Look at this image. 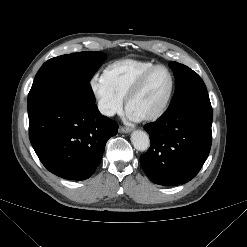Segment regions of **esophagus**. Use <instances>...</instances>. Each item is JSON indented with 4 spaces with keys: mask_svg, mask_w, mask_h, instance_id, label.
<instances>
[{
    "mask_svg": "<svg viewBox=\"0 0 247 247\" xmlns=\"http://www.w3.org/2000/svg\"><path fill=\"white\" fill-rule=\"evenodd\" d=\"M119 131H120L121 133H129V132L132 131V128L122 126V127H120Z\"/></svg>",
    "mask_w": 247,
    "mask_h": 247,
    "instance_id": "esophagus-1",
    "label": "esophagus"
}]
</instances>
